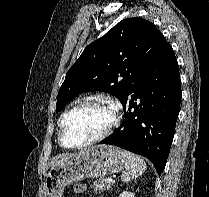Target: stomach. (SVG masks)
<instances>
[{"mask_svg":"<svg viewBox=\"0 0 209 197\" xmlns=\"http://www.w3.org/2000/svg\"><path fill=\"white\" fill-rule=\"evenodd\" d=\"M125 167L121 150L111 145H97L53 167L45 180V197H63L66 186L85 178H100Z\"/></svg>","mask_w":209,"mask_h":197,"instance_id":"obj_1","label":"stomach"}]
</instances>
